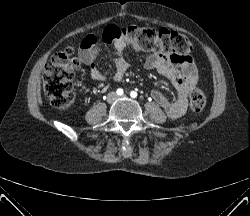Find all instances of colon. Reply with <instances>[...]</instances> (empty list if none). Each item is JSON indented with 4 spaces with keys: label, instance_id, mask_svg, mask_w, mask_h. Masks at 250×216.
I'll return each mask as SVG.
<instances>
[{
    "label": "colon",
    "instance_id": "obj_1",
    "mask_svg": "<svg viewBox=\"0 0 250 216\" xmlns=\"http://www.w3.org/2000/svg\"><path fill=\"white\" fill-rule=\"evenodd\" d=\"M125 40L140 50L158 54L188 56L192 46L186 36L166 29L154 30L147 27L129 26L120 29L107 27L102 33V40L114 43ZM98 41V40H97ZM80 61L73 49H67L51 57L43 74V87L52 106L67 109L74 102L72 79ZM206 105L203 91L197 87L190 93V108L194 115L200 114Z\"/></svg>",
    "mask_w": 250,
    "mask_h": 216
}]
</instances>
